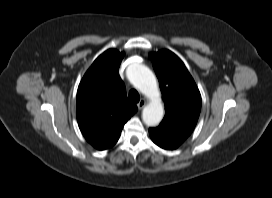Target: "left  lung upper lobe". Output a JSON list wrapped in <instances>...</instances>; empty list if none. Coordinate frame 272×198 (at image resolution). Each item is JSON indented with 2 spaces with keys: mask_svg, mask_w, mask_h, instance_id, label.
Here are the masks:
<instances>
[{
  "mask_svg": "<svg viewBox=\"0 0 272 198\" xmlns=\"http://www.w3.org/2000/svg\"><path fill=\"white\" fill-rule=\"evenodd\" d=\"M155 73L165 100L160 125L189 136L201 111V95L184 63L171 51L151 53Z\"/></svg>",
  "mask_w": 272,
  "mask_h": 198,
  "instance_id": "5c2ea615",
  "label": "left lung upper lobe"
}]
</instances>
